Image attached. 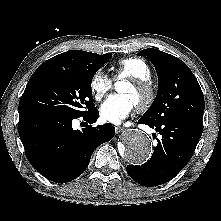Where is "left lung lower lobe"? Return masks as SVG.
<instances>
[{"label":"left lung lower lobe","instance_id":"0a47b994","mask_svg":"<svg viewBox=\"0 0 221 221\" xmlns=\"http://www.w3.org/2000/svg\"><path fill=\"white\" fill-rule=\"evenodd\" d=\"M139 123L155 128L162 139L158 141L150 160L145 164L128 165L127 172L137 183L157 186L176 176L189 162L202 135V127L180 118L152 125L142 118Z\"/></svg>","mask_w":221,"mask_h":221}]
</instances>
